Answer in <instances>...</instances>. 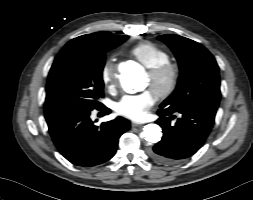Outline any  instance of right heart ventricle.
<instances>
[{"label":"right heart ventricle","instance_id":"e07e8e85","mask_svg":"<svg viewBox=\"0 0 253 200\" xmlns=\"http://www.w3.org/2000/svg\"><path fill=\"white\" fill-rule=\"evenodd\" d=\"M129 55L146 68H151L170 60L167 50L149 41L140 42L128 51Z\"/></svg>","mask_w":253,"mask_h":200}]
</instances>
